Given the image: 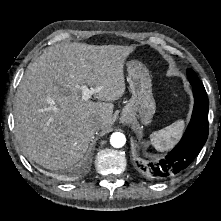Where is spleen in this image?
<instances>
[{"label": "spleen", "instance_id": "3e777b00", "mask_svg": "<svg viewBox=\"0 0 221 221\" xmlns=\"http://www.w3.org/2000/svg\"><path fill=\"white\" fill-rule=\"evenodd\" d=\"M184 127L185 122L183 120L175 121L171 125L153 132L150 135V142L156 150L160 152L167 151L181 137Z\"/></svg>", "mask_w": 221, "mask_h": 221}]
</instances>
